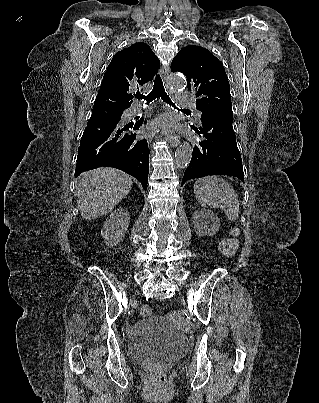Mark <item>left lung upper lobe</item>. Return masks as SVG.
<instances>
[{"label": "left lung upper lobe", "instance_id": "5c2ea615", "mask_svg": "<svg viewBox=\"0 0 319 403\" xmlns=\"http://www.w3.org/2000/svg\"><path fill=\"white\" fill-rule=\"evenodd\" d=\"M173 72H183L189 90L196 93V107L202 115L232 112L229 82L223 64L207 49L189 45L173 59Z\"/></svg>", "mask_w": 319, "mask_h": 403}]
</instances>
